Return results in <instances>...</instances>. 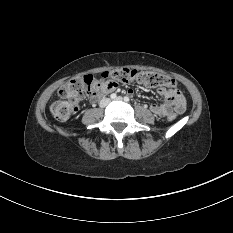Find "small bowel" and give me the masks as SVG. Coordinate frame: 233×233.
I'll use <instances>...</instances> for the list:
<instances>
[{
  "label": "small bowel",
  "mask_w": 233,
  "mask_h": 233,
  "mask_svg": "<svg viewBox=\"0 0 233 233\" xmlns=\"http://www.w3.org/2000/svg\"><path fill=\"white\" fill-rule=\"evenodd\" d=\"M117 88V84L106 83L102 89L95 95L99 97L102 94H106L114 91ZM158 93L165 98L163 104L152 103L150 110L153 114L162 117L169 118L175 116V113L182 114L186 110V102L184 96L179 90L170 89V88H160ZM129 94H132V91H129Z\"/></svg>",
  "instance_id": "small-bowel-1"
}]
</instances>
